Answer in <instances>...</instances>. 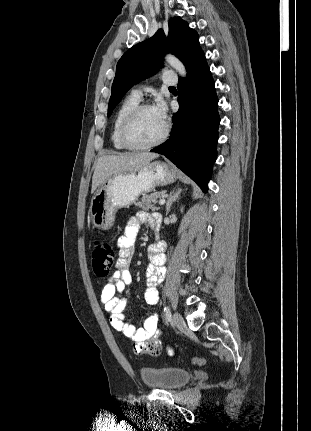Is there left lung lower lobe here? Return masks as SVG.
<instances>
[{"mask_svg":"<svg viewBox=\"0 0 311 431\" xmlns=\"http://www.w3.org/2000/svg\"><path fill=\"white\" fill-rule=\"evenodd\" d=\"M186 70L187 77L178 83L180 108L173 116L171 136L151 152L166 156L207 192L217 156L218 99L203 51Z\"/></svg>","mask_w":311,"mask_h":431,"instance_id":"0a47b994","label":"left lung lower lobe"}]
</instances>
